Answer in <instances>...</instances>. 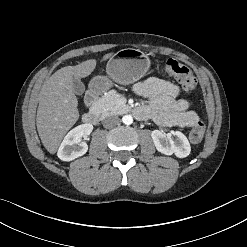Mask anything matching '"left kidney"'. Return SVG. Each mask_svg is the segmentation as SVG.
Segmentation results:
<instances>
[{"label":"left kidney","mask_w":247,"mask_h":247,"mask_svg":"<svg viewBox=\"0 0 247 247\" xmlns=\"http://www.w3.org/2000/svg\"><path fill=\"white\" fill-rule=\"evenodd\" d=\"M151 137L156 149L162 154H175L178 158H185L190 154V143L180 131H171L165 134L163 130L156 129L152 131Z\"/></svg>","instance_id":"obj_1"}]
</instances>
